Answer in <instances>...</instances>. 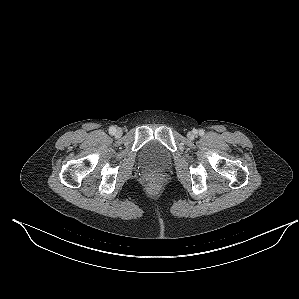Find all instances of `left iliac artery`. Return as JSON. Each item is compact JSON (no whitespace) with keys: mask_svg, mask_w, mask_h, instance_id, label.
<instances>
[{"mask_svg":"<svg viewBox=\"0 0 299 299\" xmlns=\"http://www.w3.org/2000/svg\"><path fill=\"white\" fill-rule=\"evenodd\" d=\"M199 134H200V135H203V134H204V131H203V130H199Z\"/></svg>","mask_w":299,"mask_h":299,"instance_id":"44dca946","label":"left iliac artery"}]
</instances>
